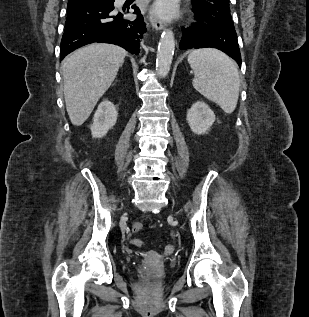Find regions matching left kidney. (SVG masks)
Listing matches in <instances>:
<instances>
[{
	"label": "left kidney",
	"instance_id": "5707ae66",
	"mask_svg": "<svg viewBox=\"0 0 309 317\" xmlns=\"http://www.w3.org/2000/svg\"><path fill=\"white\" fill-rule=\"evenodd\" d=\"M187 122L192 132L201 135L215 122V114L203 101L194 103L187 112Z\"/></svg>",
	"mask_w": 309,
	"mask_h": 317
}]
</instances>
